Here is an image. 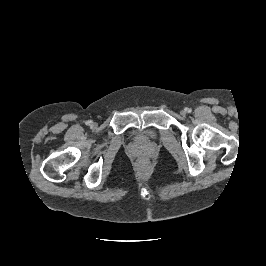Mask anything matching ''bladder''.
Instances as JSON below:
<instances>
[{"instance_id":"31cf9c89","label":"bladder","mask_w":266,"mask_h":266,"mask_svg":"<svg viewBox=\"0 0 266 266\" xmlns=\"http://www.w3.org/2000/svg\"><path fill=\"white\" fill-rule=\"evenodd\" d=\"M134 139L140 144H151L157 139V134L152 130H147L141 133H135Z\"/></svg>"}]
</instances>
